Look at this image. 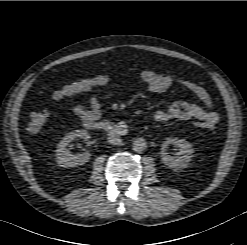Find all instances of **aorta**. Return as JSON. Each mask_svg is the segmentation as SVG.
<instances>
[{"label":"aorta","instance_id":"1","mask_svg":"<svg viewBox=\"0 0 247 245\" xmlns=\"http://www.w3.org/2000/svg\"><path fill=\"white\" fill-rule=\"evenodd\" d=\"M147 147L146 141L144 138L139 137L135 138L132 143V149L135 152H143Z\"/></svg>","mask_w":247,"mask_h":245}]
</instances>
